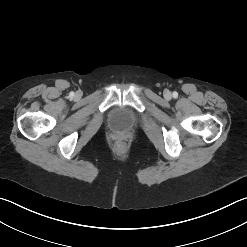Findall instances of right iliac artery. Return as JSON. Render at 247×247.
<instances>
[{
    "label": "right iliac artery",
    "instance_id": "obj_1",
    "mask_svg": "<svg viewBox=\"0 0 247 247\" xmlns=\"http://www.w3.org/2000/svg\"><path fill=\"white\" fill-rule=\"evenodd\" d=\"M70 96H71V97H73V96H74V93H73V92H71V93H70Z\"/></svg>",
    "mask_w": 247,
    "mask_h": 247
}]
</instances>
